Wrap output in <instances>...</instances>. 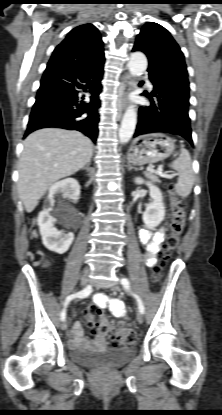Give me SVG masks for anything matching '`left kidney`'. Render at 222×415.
<instances>
[{
  "mask_svg": "<svg viewBox=\"0 0 222 415\" xmlns=\"http://www.w3.org/2000/svg\"><path fill=\"white\" fill-rule=\"evenodd\" d=\"M134 182L138 185L146 184L149 187V195L152 202L146 206L145 212L143 213L144 224L153 229L157 227L165 217V207L163 203V196L160 189L150 182H145L142 178L136 177Z\"/></svg>",
  "mask_w": 222,
  "mask_h": 415,
  "instance_id": "left-kidney-1",
  "label": "left kidney"
}]
</instances>
